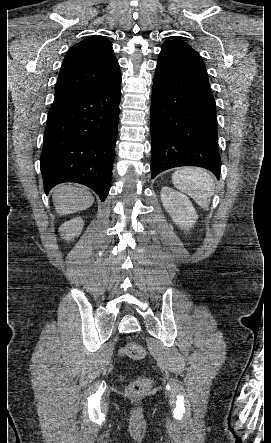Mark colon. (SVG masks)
<instances>
[{"label":"colon","mask_w":271,"mask_h":443,"mask_svg":"<svg viewBox=\"0 0 271 443\" xmlns=\"http://www.w3.org/2000/svg\"><path fill=\"white\" fill-rule=\"evenodd\" d=\"M120 355L140 360L145 356L144 347L137 342H128L120 349ZM150 380L145 376L136 378L127 388V394L136 398L143 395L150 387Z\"/></svg>","instance_id":"colon-1"}]
</instances>
